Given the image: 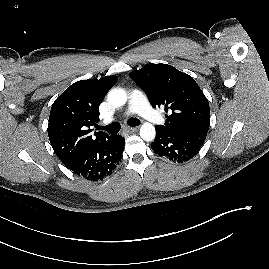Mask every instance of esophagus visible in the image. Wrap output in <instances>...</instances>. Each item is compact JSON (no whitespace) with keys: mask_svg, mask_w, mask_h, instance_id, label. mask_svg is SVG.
I'll return each mask as SVG.
<instances>
[{"mask_svg":"<svg viewBox=\"0 0 269 269\" xmlns=\"http://www.w3.org/2000/svg\"><path fill=\"white\" fill-rule=\"evenodd\" d=\"M126 131L129 133L137 132L138 127H128V128H126Z\"/></svg>","mask_w":269,"mask_h":269,"instance_id":"34e87169","label":"esophagus"}]
</instances>
